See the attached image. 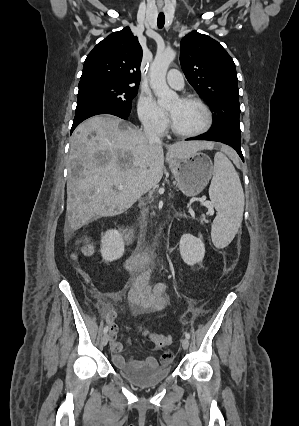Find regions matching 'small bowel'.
I'll use <instances>...</instances> for the list:
<instances>
[{
  "mask_svg": "<svg viewBox=\"0 0 299 426\" xmlns=\"http://www.w3.org/2000/svg\"><path fill=\"white\" fill-rule=\"evenodd\" d=\"M149 271L139 275L129 292V301L131 310L136 314H147L160 311L167 305L166 285L159 283L154 287L148 284ZM117 313L113 310L106 312V321L111 326V351L112 361L118 369H129L136 367H153L157 366L158 362L153 357H147L141 360H126L122 352L123 344L117 340L118 327L115 323ZM172 353L165 351L161 354V364H169L172 360Z\"/></svg>",
  "mask_w": 299,
  "mask_h": 426,
  "instance_id": "c3829d8e",
  "label": "small bowel"
}]
</instances>
